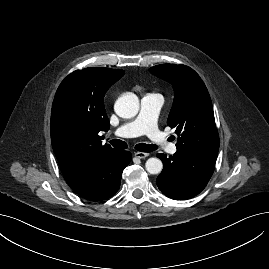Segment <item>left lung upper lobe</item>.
Returning <instances> with one entry per match:
<instances>
[{
  "mask_svg": "<svg viewBox=\"0 0 269 269\" xmlns=\"http://www.w3.org/2000/svg\"><path fill=\"white\" fill-rule=\"evenodd\" d=\"M150 72L173 85L175 98L167 124L179 136L177 148L187 150H219V135L208 90L190 67L161 64Z\"/></svg>",
  "mask_w": 269,
  "mask_h": 269,
  "instance_id": "left-lung-upper-lobe-1",
  "label": "left lung upper lobe"
}]
</instances>
